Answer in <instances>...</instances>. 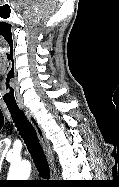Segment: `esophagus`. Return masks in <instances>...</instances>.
Instances as JSON below:
<instances>
[{"mask_svg":"<svg viewBox=\"0 0 119 187\" xmlns=\"http://www.w3.org/2000/svg\"><path fill=\"white\" fill-rule=\"evenodd\" d=\"M20 109L25 113L28 120L34 126V128L37 132V135L39 137L40 143L42 145V148H43L45 155L47 157V160L49 162L50 169H51V176L53 178H55L57 175V172H56V167H55V163H54V156H53V152L51 149V145H50L48 139L46 138L44 130L42 129L41 125L39 124V122L36 119V117L34 116V114L30 111V109H28L24 105H20Z\"/></svg>","mask_w":119,"mask_h":187,"instance_id":"1","label":"esophagus"}]
</instances>
